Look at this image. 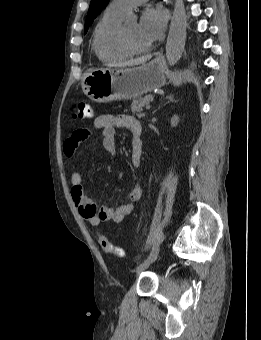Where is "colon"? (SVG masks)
<instances>
[{
    "label": "colon",
    "instance_id": "colon-1",
    "mask_svg": "<svg viewBox=\"0 0 261 340\" xmlns=\"http://www.w3.org/2000/svg\"><path fill=\"white\" fill-rule=\"evenodd\" d=\"M94 110L87 103H78L73 106V118L76 120H85L93 117ZM97 240L102 250L117 258L123 259L126 254L123 249L114 246L105 233L101 230L97 233Z\"/></svg>",
    "mask_w": 261,
    "mask_h": 340
}]
</instances>
